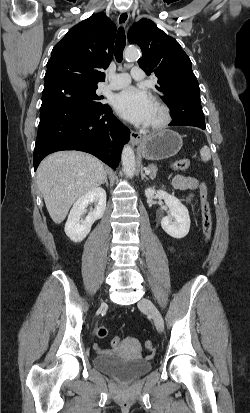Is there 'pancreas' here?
Wrapping results in <instances>:
<instances>
[{
    "label": "pancreas",
    "instance_id": "pancreas-1",
    "mask_svg": "<svg viewBox=\"0 0 250 413\" xmlns=\"http://www.w3.org/2000/svg\"><path fill=\"white\" fill-rule=\"evenodd\" d=\"M147 169L150 171V174H149L150 178L152 179L155 178L157 174V166L149 165Z\"/></svg>",
    "mask_w": 250,
    "mask_h": 413
}]
</instances>
